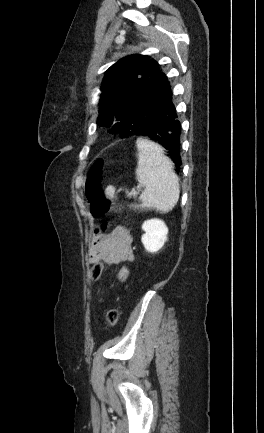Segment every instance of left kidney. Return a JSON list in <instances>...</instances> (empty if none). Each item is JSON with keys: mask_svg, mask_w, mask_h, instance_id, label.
Wrapping results in <instances>:
<instances>
[{"mask_svg": "<svg viewBox=\"0 0 264 433\" xmlns=\"http://www.w3.org/2000/svg\"><path fill=\"white\" fill-rule=\"evenodd\" d=\"M142 230L145 234L142 235L141 241L147 252H157L167 241L168 228L160 219L146 220L142 224Z\"/></svg>", "mask_w": 264, "mask_h": 433, "instance_id": "obj_1", "label": "left kidney"}]
</instances>
